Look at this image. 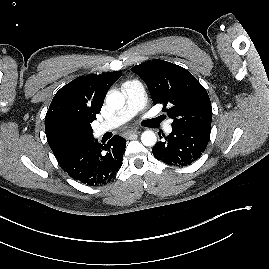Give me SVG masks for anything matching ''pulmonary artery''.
Segmentation results:
<instances>
[{"label": "pulmonary artery", "instance_id": "1", "mask_svg": "<svg viewBox=\"0 0 269 269\" xmlns=\"http://www.w3.org/2000/svg\"><path fill=\"white\" fill-rule=\"evenodd\" d=\"M126 98L125 106L119 110L111 119L100 123L95 129V135L100 136L130 120L135 114L141 111L146 104V95L143 85L136 80L127 81L121 87ZM165 131H172L171 121L165 123Z\"/></svg>", "mask_w": 269, "mask_h": 269}]
</instances>
